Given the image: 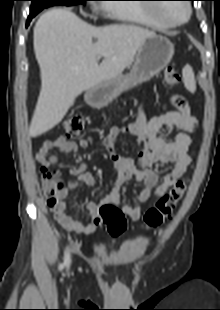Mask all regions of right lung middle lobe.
<instances>
[{"label":"right lung middle lobe","mask_w":220,"mask_h":310,"mask_svg":"<svg viewBox=\"0 0 220 310\" xmlns=\"http://www.w3.org/2000/svg\"><path fill=\"white\" fill-rule=\"evenodd\" d=\"M30 14H38L44 8L54 5L72 6L80 3H85L87 0H31Z\"/></svg>","instance_id":"obj_1"}]
</instances>
